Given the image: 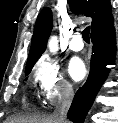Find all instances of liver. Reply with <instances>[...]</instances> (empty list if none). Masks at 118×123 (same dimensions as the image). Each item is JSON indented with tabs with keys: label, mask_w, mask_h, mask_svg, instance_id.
Instances as JSON below:
<instances>
[{
	"label": "liver",
	"mask_w": 118,
	"mask_h": 123,
	"mask_svg": "<svg viewBox=\"0 0 118 123\" xmlns=\"http://www.w3.org/2000/svg\"><path fill=\"white\" fill-rule=\"evenodd\" d=\"M4 123H59L53 115L32 114L26 116H12L5 120Z\"/></svg>",
	"instance_id": "6515ba94"
}]
</instances>
